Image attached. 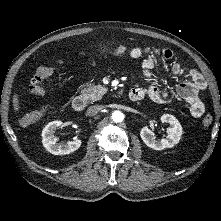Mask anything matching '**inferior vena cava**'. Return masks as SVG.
I'll return each mask as SVG.
<instances>
[{
  "instance_id": "602c4592",
  "label": "inferior vena cava",
  "mask_w": 221,
  "mask_h": 221,
  "mask_svg": "<svg viewBox=\"0 0 221 221\" xmlns=\"http://www.w3.org/2000/svg\"><path fill=\"white\" fill-rule=\"evenodd\" d=\"M102 109L101 105H93L87 109V116H95Z\"/></svg>"
}]
</instances>
